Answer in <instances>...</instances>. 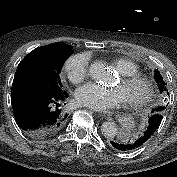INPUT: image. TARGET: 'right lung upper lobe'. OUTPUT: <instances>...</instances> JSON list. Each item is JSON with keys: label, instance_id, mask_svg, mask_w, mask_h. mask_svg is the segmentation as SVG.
Masks as SVG:
<instances>
[{"label": "right lung upper lobe", "instance_id": "obj_1", "mask_svg": "<svg viewBox=\"0 0 177 177\" xmlns=\"http://www.w3.org/2000/svg\"><path fill=\"white\" fill-rule=\"evenodd\" d=\"M72 53V46L58 42L48 46L38 47L31 51L19 65L24 63H35L42 66H49L62 58L69 57Z\"/></svg>", "mask_w": 177, "mask_h": 177}]
</instances>
